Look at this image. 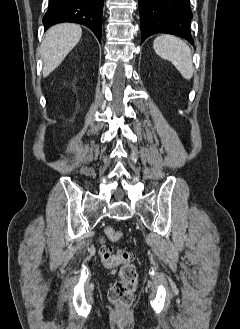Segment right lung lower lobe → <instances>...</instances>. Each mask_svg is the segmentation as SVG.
<instances>
[{
  "label": "right lung lower lobe",
  "mask_w": 240,
  "mask_h": 329,
  "mask_svg": "<svg viewBox=\"0 0 240 329\" xmlns=\"http://www.w3.org/2000/svg\"><path fill=\"white\" fill-rule=\"evenodd\" d=\"M104 0H49L43 18L45 29L62 22L87 26L101 41L102 11Z\"/></svg>",
  "instance_id": "98d812e1"
}]
</instances>
